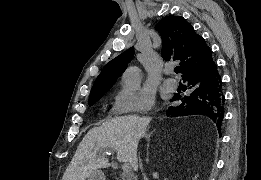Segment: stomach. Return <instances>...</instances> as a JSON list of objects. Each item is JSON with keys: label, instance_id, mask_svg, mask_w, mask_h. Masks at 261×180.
<instances>
[{"label": "stomach", "instance_id": "stomach-1", "mask_svg": "<svg viewBox=\"0 0 261 180\" xmlns=\"http://www.w3.org/2000/svg\"><path fill=\"white\" fill-rule=\"evenodd\" d=\"M87 180H105V176L101 170H96L88 176Z\"/></svg>", "mask_w": 261, "mask_h": 180}]
</instances>
